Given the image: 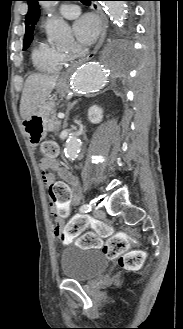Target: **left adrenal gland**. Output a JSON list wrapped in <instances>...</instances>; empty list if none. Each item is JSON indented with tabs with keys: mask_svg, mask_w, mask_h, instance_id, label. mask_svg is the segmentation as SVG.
Wrapping results in <instances>:
<instances>
[{
	"mask_svg": "<svg viewBox=\"0 0 183 329\" xmlns=\"http://www.w3.org/2000/svg\"><path fill=\"white\" fill-rule=\"evenodd\" d=\"M78 100H75L73 102H69L67 105V111H66V118L64 120V128L67 126V120L69 116V112L73 109V107L77 104Z\"/></svg>",
	"mask_w": 183,
	"mask_h": 329,
	"instance_id": "left-adrenal-gland-1",
	"label": "left adrenal gland"
}]
</instances>
